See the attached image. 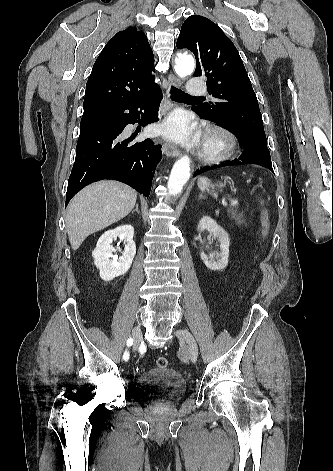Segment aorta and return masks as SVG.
I'll list each match as a JSON object with an SVG mask.
<instances>
[{
    "mask_svg": "<svg viewBox=\"0 0 333 471\" xmlns=\"http://www.w3.org/2000/svg\"><path fill=\"white\" fill-rule=\"evenodd\" d=\"M195 69V62L192 56L181 55L175 59L174 70L179 77L185 78L191 75ZM191 175L190 158L187 155L177 160L171 170L168 180V192L171 195L181 193L183 186L187 183Z\"/></svg>",
    "mask_w": 333,
    "mask_h": 471,
    "instance_id": "aorta-1",
    "label": "aorta"
}]
</instances>
